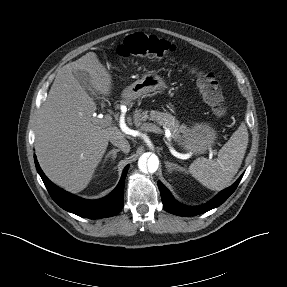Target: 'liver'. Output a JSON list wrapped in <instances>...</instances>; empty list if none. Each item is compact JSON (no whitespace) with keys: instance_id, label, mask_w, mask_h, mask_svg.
Returning <instances> with one entry per match:
<instances>
[{"instance_id":"obj_1","label":"liver","mask_w":287,"mask_h":287,"mask_svg":"<svg viewBox=\"0 0 287 287\" xmlns=\"http://www.w3.org/2000/svg\"><path fill=\"white\" fill-rule=\"evenodd\" d=\"M89 74L97 94L109 96L112 79L96 53L88 52L57 73L38 117L35 150L46 176L65 190L85 189L100 163L110 138L125 135L117 126H102L96 103L75 78Z\"/></svg>"}]
</instances>
